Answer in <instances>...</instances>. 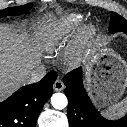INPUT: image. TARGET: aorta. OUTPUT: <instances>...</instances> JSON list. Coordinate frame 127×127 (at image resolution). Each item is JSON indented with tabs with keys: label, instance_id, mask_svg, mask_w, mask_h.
Here are the masks:
<instances>
[{
	"label": "aorta",
	"instance_id": "762f6f07",
	"mask_svg": "<svg viewBox=\"0 0 127 127\" xmlns=\"http://www.w3.org/2000/svg\"><path fill=\"white\" fill-rule=\"evenodd\" d=\"M51 104L55 109L61 110L67 106L68 100L63 93H55L51 97Z\"/></svg>",
	"mask_w": 127,
	"mask_h": 127
}]
</instances>
